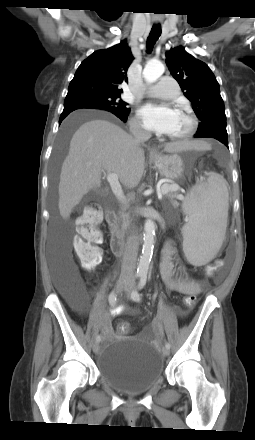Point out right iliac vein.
Returning <instances> with one entry per match:
<instances>
[{
    "label": "right iliac vein",
    "instance_id": "63e3f726",
    "mask_svg": "<svg viewBox=\"0 0 255 440\" xmlns=\"http://www.w3.org/2000/svg\"><path fill=\"white\" fill-rule=\"evenodd\" d=\"M127 288L126 281H119L117 284V290L118 292H121ZM93 352L97 354L99 352V343L95 342L93 345Z\"/></svg>",
    "mask_w": 255,
    "mask_h": 440
}]
</instances>
